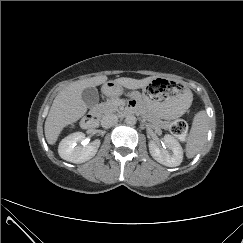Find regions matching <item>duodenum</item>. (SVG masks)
I'll list each match as a JSON object with an SVG mask.
<instances>
[{
  "instance_id": "410a0bca",
  "label": "duodenum",
  "mask_w": 243,
  "mask_h": 243,
  "mask_svg": "<svg viewBox=\"0 0 243 243\" xmlns=\"http://www.w3.org/2000/svg\"><path fill=\"white\" fill-rule=\"evenodd\" d=\"M109 92V91H107ZM98 119L95 113H88L82 120V126L85 129H93L97 126Z\"/></svg>"
}]
</instances>
